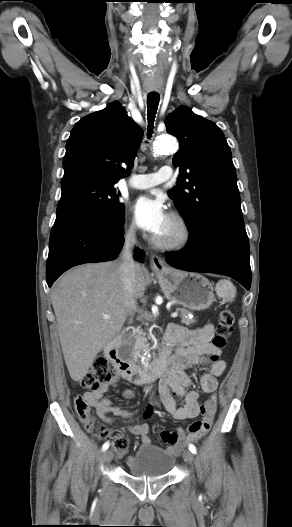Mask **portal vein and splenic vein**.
I'll return each instance as SVG.
<instances>
[{"mask_svg":"<svg viewBox=\"0 0 292 527\" xmlns=\"http://www.w3.org/2000/svg\"><path fill=\"white\" fill-rule=\"evenodd\" d=\"M177 316H178V312H173V313H171V317L175 318V317H177ZM103 318H105V319H109L110 316H109V315H103Z\"/></svg>","mask_w":292,"mask_h":527,"instance_id":"portal-vein-and-splenic-vein-1","label":"portal vein and splenic vein"}]
</instances>
